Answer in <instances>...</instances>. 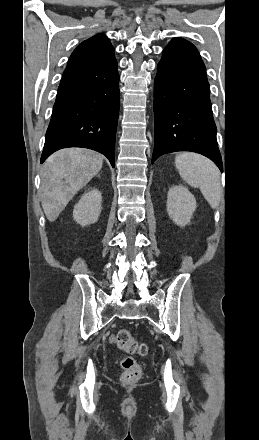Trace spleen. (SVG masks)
Here are the masks:
<instances>
[{"instance_id":"spleen-1","label":"spleen","mask_w":259,"mask_h":440,"mask_svg":"<svg viewBox=\"0 0 259 440\" xmlns=\"http://www.w3.org/2000/svg\"><path fill=\"white\" fill-rule=\"evenodd\" d=\"M175 165L181 178L190 186L199 188L213 209L222 198L220 172L206 157L196 153H181L175 158Z\"/></svg>"}]
</instances>
